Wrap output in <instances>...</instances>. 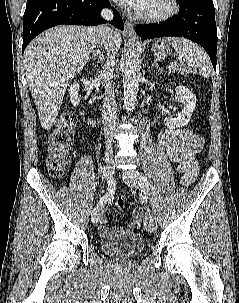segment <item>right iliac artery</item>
Returning <instances> with one entry per match:
<instances>
[{"mask_svg":"<svg viewBox=\"0 0 239 303\" xmlns=\"http://www.w3.org/2000/svg\"><path fill=\"white\" fill-rule=\"evenodd\" d=\"M102 173L104 174L105 178H107L108 182V189L106 194L100 198L99 202L96 205V208L103 206L108 200H110L113 197V194L115 192V184L116 179L112 178L111 176H115V171H106V167L103 166L101 168Z\"/></svg>","mask_w":239,"mask_h":303,"instance_id":"82829eb1","label":"right iliac artery"}]
</instances>
